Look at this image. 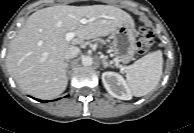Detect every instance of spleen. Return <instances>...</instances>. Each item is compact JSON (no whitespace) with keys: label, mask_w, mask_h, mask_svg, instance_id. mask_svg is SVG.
<instances>
[{"label":"spleen","mask_w":194,"mask_h":133,"mask_svg":"<svg viewBox=\"0 0 194 133\" xmlns=\"http://www.w3.org/2000/svg\"><path fill=\"white\" fill-rule=\"evenodd\" d=\"M163 68V57L160 50L149 53L135 61L126 69V81L131 93L144 96L159 83Z\"/></svg>","instance_id":"3e777b00"}]
</instances>
